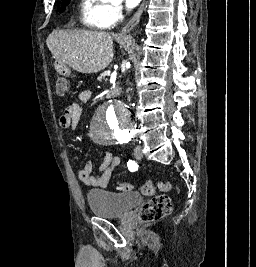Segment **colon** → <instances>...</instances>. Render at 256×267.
Segmentation results:
<instances>
[{
	"instance_id": "5ec220e1",
	"label": "colon",
	"mask_w": 256,
	"mask_h": 267,
	"mask_svg": "<svg viewBox=\"0 0 256 267\" xmlns=\"http://www.w3.org/2000/svg\"><path fill=\"white\" fill-rule=\"evenodd\" d=\"M55 87L58 94H66L70 89L69 77H60V73H58L55 80ZM156 187L161 190H169L171 186L169 183L145 181L142 185V193L152 196L155 194ZM118 189L122 192H130L134 190V185L130 182H123L119 184ZM165 195L168 194L155 195L161 197H152L151 200L143 206L139 214L142 224H149V222L157 221L171 213L173 204L171 199Z\"/></svg>"
}]
</instances>
